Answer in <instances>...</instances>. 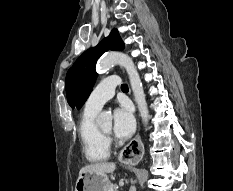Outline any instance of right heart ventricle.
<instances>
[{
  "mask_svg": "<svg viewBox=\"0 0 233 191\" xmlns=\"http://www.w3.org/2000/svg\"><path fill=\"white\" fill-rule=\"evenodd\" d=\"M96 111L85 110L79 123V137L83 152L90 162H102L109 157V143L95 123Z\"/></svg>",
  "mask_w": 233,
  "mask_h": 191,
  "instance_id": "right-heart-ventricle-1",
  "label": "right heart ventricle"
}]
</instances>
